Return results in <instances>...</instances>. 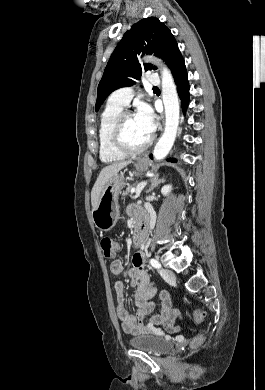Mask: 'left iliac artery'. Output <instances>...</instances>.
I'll use <instances>...</instances> for the list:
<instances>
[{
  "mask_svg": "<svg viewBox=\"0 0 265 390\" xmlns=\"http://www.w3.org/2000/svg\"><path fill=\"white\" fill-rule=\"evenodd\" d=\"M150 264L155 268H160L161 264L154 258L150 259Z\"/></svg>",
  "mask_w": 265,
  "mask_h": 390,
  "instance_id": "1",
  "label": "left iliac artery"
}]
</instances>
